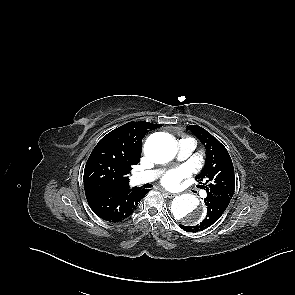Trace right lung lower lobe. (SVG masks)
Masks as SVG:
<instances>
[{"mask_svg":"<svg viewBox=\"0 0 295 295\" xmlns=\"http://www.w3.org/2000/svg\"><path fill=\"white\" fill-rule=\"evenodd\" d=\"M148 190L129 186L122 189L85 191L94 213L108 222H119L130 216Z\"/></svg>","mask_w":295,"mask_h":295,"instance_id":"1","label":"right lung lower lobe"}]
</instances>
